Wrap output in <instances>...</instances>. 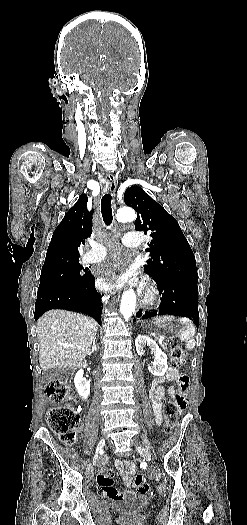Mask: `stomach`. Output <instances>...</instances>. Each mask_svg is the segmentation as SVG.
Returning <instances> with one entry per match:
<instances>
[{
    "mask_svg": "<svg viewBox=\"0 0 247 525\" xmlns=\"http://www.w3.org/2000/svg\"><path fill=\"white\" fill-rule=\"evenodd\" d=\"M181 323L176 320L165 321L163 323L156 320L151 322H143L142 328L155 337H167L172 339L179 336L181 331Z\"/></svg>",
    "mask_w": 247,
    "mask_h": 525,
    "instance_id": "obj_1",
    "label": "stomach"
}]
</instances>
